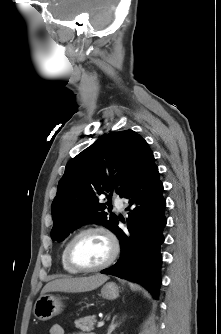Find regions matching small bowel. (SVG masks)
Returning <instances> with one entry per match:
<instances>
[{
	"label": "small bowel",
	"mask_w": 221,
	"mask_h": 334,
	"mask_svg": "<svg viewBox=\"0 0 221 334\" xmlns=\"http://www.w3.org/2000/svg\"><path fill=\"white\" fill-rule=\"evenodd\" d=\"M49 334H65V331L61 325L54 324L50 327Z\"/></svg>",
	"instance_id": "obj_1"
}]
</instances>
